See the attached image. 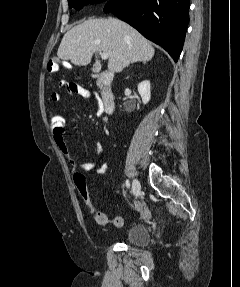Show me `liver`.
Returning <instances> with one entry per match:
<instances>
[{"label":"liver","instance_id":"obj_1","mask_svg":"<svg viewBox=\"0 0 240 287\" xmlns=\"http://www.w3.org/2000/svg\"><path fill=\"white\" fill-rule=\"evenodd\" d=\"M108 53V69L119 73L138 61H148L155 50L136 29L109 17L88 19L74 26L63 37L57 56L63 61L83 66L90 63L96 52Z\"/></svg>","mask_w":240,"mask_h":287}]
</instances>
